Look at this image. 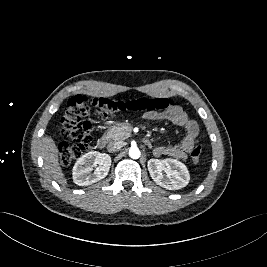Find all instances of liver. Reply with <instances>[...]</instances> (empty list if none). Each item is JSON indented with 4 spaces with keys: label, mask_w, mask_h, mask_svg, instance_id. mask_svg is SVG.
<instances>
[{
    "label": "liver",
    "mask_w": 267,
    "mask_h": 267,
    "mask_svg": "<svg viewBox=\"0 0 267 267\" xmlns=\"http://www.w3.org/2000/svg\"><path fill=\"white\" fill-rule=\"evenodd\" d=\"M42 157L44 159V167L51 177L59 184L67 185V179L59 165L57 146L50 136H45L42 139Z\"/></svg>",
    "instance_id": "1"
}]
</instances>
